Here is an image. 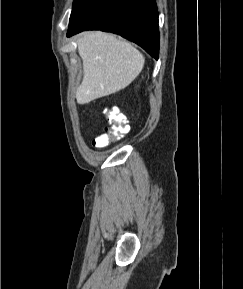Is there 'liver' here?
Returning a JSON list of instances; mask_svg holds the SVG:
<instances>
[{
    "label": "liver",
    "mask_w": 243,
    "mask_h": 289,
    "mask_svg": "<svg viewBox=\"0 0 243 289\" xmlns=\"http://www.w3.org/2000/svg\"><path fill=\"white\" fill-rule=\"evenodd\" d=\"M77 43L83 61V79L75 95L78 104L124 89L144 67L143 54L114 35L89 31L83 33Z\"/></svg>",
    "instance_id": "6515ba94"
}]
</instances>
